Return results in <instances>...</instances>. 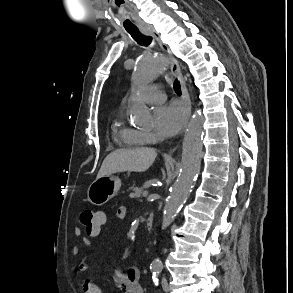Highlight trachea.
Listing matches in <instances>:
<instances>
[{"label": "trachea", "instance_id": "1", "mask_svg": "<svg viewBox=\"0 0 293 293\" xmlns=\"http://www.w3.org/2000/svg\"><path fill=\"white\" fill-rule=\"evenodd\" d=\"M126 31L131 35V37L140 45L148 46L152 42L151 36H146L142 34L137 28L126 29ZM174 90L176 93H180V82L176 81L174 84Z\"/></svg>", "mask_w": 293, "mask_h": 293}]
</instances>
